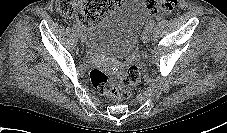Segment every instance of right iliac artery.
<instances>
[{
	"mask_svg": "<svg viewBox=\"0 0 227 133\" xmlns=\"http://www.w3.org/2000/svg\"><path fill=\"white\" fill-rule=\"evenodd\" d=\"M73 27H74L77 31H81L80 24L74 23V24H73Z\"/></svg>",
	"mask_w": 227,
	"mask_h": 133,
	"instance_id": "obj_1",
	"label": "right iliac artery"
}]
</instances>
